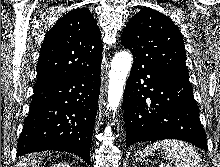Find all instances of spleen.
I'll use <instances>...</instances> for the list:
<instances>
[{
	"mask_svg": "<svg viewBox=\"0 0 220 167\" xmlns=\"http://www.w3.org/2000/svg\"><path fill=\"white\" fill-rule=\"evenodd\" d=\"M162 148L165 158L175 163V167H202V159L195 148L187 142L166 139L154 142L144 150L146 154ZM162 165H160L161 167Z\"/></svg>",
	"mask_w": 220,
	"mask_h": 167,
	"instance_id": "1",
	"label": "spleen"
}]
</instances>
